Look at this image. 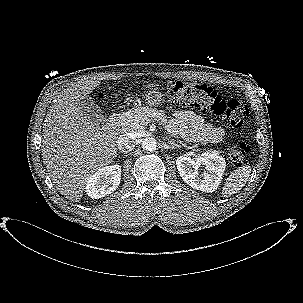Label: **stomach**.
I'll return each mask as SVG.
<instances>
[{
	"mask_svg": "<svg viewBox=\"0 0 303 303\" xmlns=\"http://www.w3.org/2000/svg\"><path fill=\"white\" fill-rule=\"evenodd\" d=\"M143 100L150 107H158L165 101L163 94L155 86L148 87V90L143 94Z\"/></svg>",
	"mask_w": 303,
	"mask_h": 303,
	"instance_id": "stomach-1",
	"label": "stomach"
}]
</instances>
